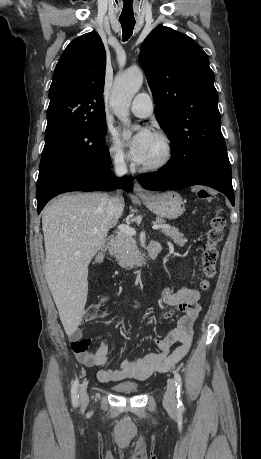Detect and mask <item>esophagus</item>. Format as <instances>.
Masks as SVG:
<instances>
[{"mask_svg": "<svg viewBox=\"0 0 261 459\" xmlns=\"http://www.w3.org/2000/svg\"><path fill=\"white\" fill-rule=\"evenodd\" d=\"M134 193L139 197L147 195L146 190L137 181L134 184Z\"/></svg>", "mask_w": 261, "mask_h": 459, "instance_id": "1", "label": "esophagus"}]
</instances>
